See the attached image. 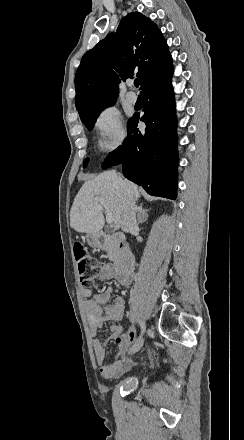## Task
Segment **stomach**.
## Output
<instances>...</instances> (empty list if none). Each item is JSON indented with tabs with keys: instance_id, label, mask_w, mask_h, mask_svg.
Here are the masks:
<instances>
[{
	"instance_id": "1",
	"label": "stomach",
	"mask_w": 244,
	"mask_h": 440,
	"mask_svg": "<svg viewBox=\"0 0 244 440\" xmlns=\"http://www.w3.org/2000/svg\"><path fill=\"white\" fill-rule=\"evenodd\" d=\"M87 244L91 248H102V242H100V232H94V234H86L85 236Z\"/></svg>"
}]
</instances>
